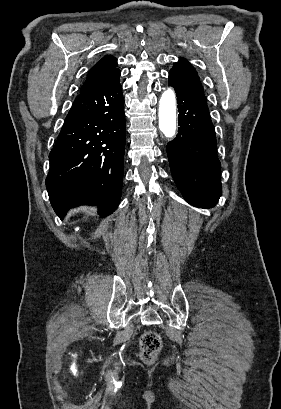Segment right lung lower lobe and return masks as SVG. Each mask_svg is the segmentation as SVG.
Returning a JSON list of instances; mask_svg holds the SVG:
<instances>
[{
  "instance_id": "1",
  "label": "right lung lower lobe",
  "mask_w": 281,
  "mask_h": 409,
  "mask_svg": "<svg viewBox=\"0 0 281 409\" xmlns=\"http://www.w3.org/2000/svg\"><path fill=\"white\" fill-rule=\"evenodd\" d=\"M119 76L76 97L49 155L46 186L61 219L75 205H96L101 218L119 205L126 140Z\"/></svg>"
}]
</instances>
